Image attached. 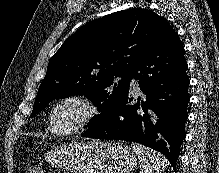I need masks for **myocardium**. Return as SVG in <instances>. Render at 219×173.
<instances>
[{
    "label": "myocardium",
    "instance_id": "f54148a6",
    "mask_svg": "<svg viewBox=\"0 0 219 173\" xmlns=\"http://www.w3.org/2000/svg\"><path fill=\"white\" fill-rule=\"evenodd\" d=\"M67 103L77 105L80 109V115L71 128L65 131H59L54 120V115L60 106ZM98 114L99 108L90 98L82 94H68L57 99L51 106L49 111L50 129L57 136H72L85 130L97 118Z\"/></svg>",
    "mask_w": 219,
    "mask_h": 173
}]
</instances>
